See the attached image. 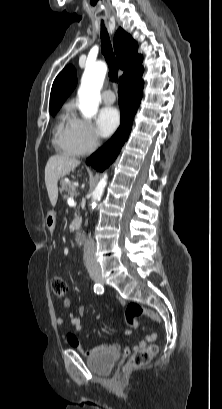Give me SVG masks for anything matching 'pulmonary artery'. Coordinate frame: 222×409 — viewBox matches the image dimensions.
I'll return each instance as SVG.
<instances>
[{"label": "pulmonary artery", "instance_id": "obj_1", "mask_svg": "<svg viewBox=\"0 0 222 409\" xmlns=\"http://www.w3.org/2000/svg\"><path fill=\"white\" fill-rule=\"evenodd\" d=\"M102 101L105 104H113L115 102V96L112 90H105L102 93Z\"/></svg>", "mask_w": 222, "mask_h": 409}]
</instances>
